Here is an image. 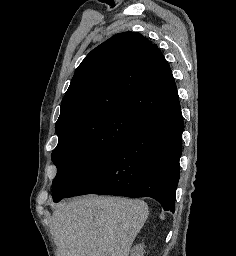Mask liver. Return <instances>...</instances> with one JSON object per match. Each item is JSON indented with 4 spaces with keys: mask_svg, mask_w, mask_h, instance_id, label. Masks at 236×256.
<instances>
[{
    "mask_svg": "<svg viewBox=\"0 0 236 256\" xmlns=\"http://www.w3.org/2000/svg\"><path fill=\"white\" fill-rule=\"evenodd\" d=\"M149 216L143 200L82 196L52 214L57 256H129Z\"/></svg>",
    "mask_w": 236,
    "mask_h": 256,
    "instance_id": "6515ba94",
    "label": "liver"
}]
</instances>
